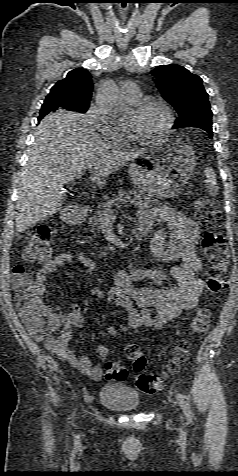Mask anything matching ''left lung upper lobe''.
I'll list each match as a JSON object with an SVG mask.
<instances>
[{
	"instance_id": "obj_1",
	"label": "left lung upper lobe",
	"mask_w": 238,
	"mask_h": 476,
	"mask_svg": "<svg viewBox=\"0 0 238 476\" xmlns=\"http://www.w3.org/2000/svg\"><path fill=\"white\" fill-rule=\"evenodd\" d=\"M162 97L177 111L173 129L212 128V111L202 79L177 64L160 65L151 71Z\"/></svg>"
}]
</instances>
